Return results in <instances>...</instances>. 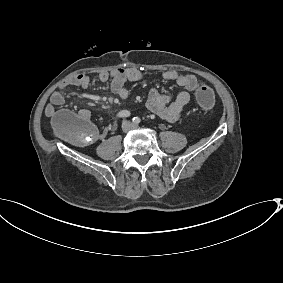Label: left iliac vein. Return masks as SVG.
Instances as JSON below:
<instances>
[{
    "label": "left iliac vein",
    "mask_w": 283,
    "mask_h": 283,
    "mask_svg": "<svg viewBox=\"0 0 283 283\" xmlns=\"http://www.w3.org/2000/svg\"><path fill=\"white\" fill-rule=\"evenodd\" d=\"M137 126L136 125H133V128H136Z\"/></svg>",
    "instance_id": "4c4485c4"
}]
</instances>
